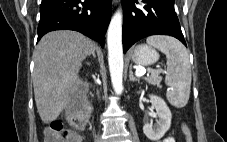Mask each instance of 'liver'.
I'll use <instances>...</instances> for the list:
<instances>
[{"instance_id":"6515ba94","label":"liver","mask_w":227,"mask_h":142,"mask_svg":"<svg viewBox=\"0 0 227 142\" xmlns=\"http://www.w3.org/2000/svg\"><path fill=\"white\" fill-rule=\"evenodd\" d=\"M95 50L92 40L70 30L49 32L34 52L32 74L38 113L44 123L58 118L79 90L78 71Z\"/></svg>"}]
</instances>
